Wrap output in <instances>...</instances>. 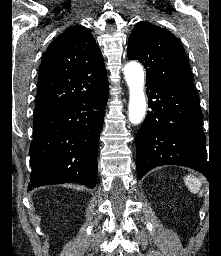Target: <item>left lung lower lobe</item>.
Wrapping results in <instances>:
<instances>
[{"instance_id":"0a47b994","label":"left lung lower lobe","mask_w":221,"mask_h":256,"mask_svg":"<svg viewBox=\"0 0 221 256\" xmlns=\"http://www.w3.org/2000/svg\"><path fill=\"white\" fill-rule=\"evenodd\" d=\"M148 111L136 134L138 178L161 165L193 168L205 176L206 138L194 88L147 83Z\"/></svg>"}]
</instances>
